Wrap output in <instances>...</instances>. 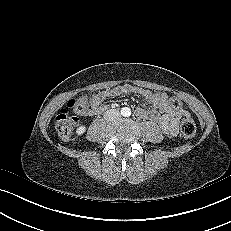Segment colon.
Returning a JSON list of instances; mask_svg holds the SVG:
<instances>
[{"label":"colon","instance_id":"5ec220e1","mask_svg":"<svg viewBox=\"0 0 231 231\" xmlns=\"http://www.w3.org/2000/svg\"><path fill=\"white\" fill-rule=\"evenodd\" d=\"M169 104L174 109H182V102L176 97L169 98ZM68 108L82 114L84 105L80 100L70 101ZM69 109H63L55 118V129L61 138H68L77 124V117L72 115ZM180 132L185 138H192L196 133V125L190 117H184L180 122Z\"/></svg>","mask_w":231,"mask_h":231}]
</instances>
